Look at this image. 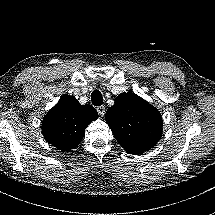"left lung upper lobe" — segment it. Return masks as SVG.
<instances>
[{"label": "left lung upper lobe", "instance_id": "obj_1", "mask_svg": "<svg viewBox=\"0 0 215 215\" xmlns=\"http://www.w3.org/2000/svg\"><path fill=\"white\" fill-rule=\"evenodd\" d=\"M105 120L127 153L141 154L152 149L162 136L160 112L133 93H122L108 108Z\"/></svg>", "mask_w": 215, "mask_h": 215}]
</instances>
